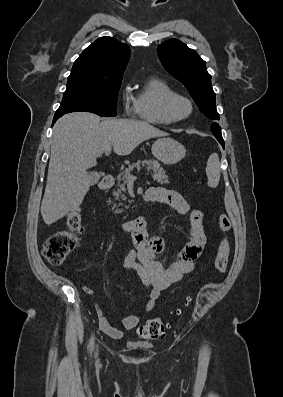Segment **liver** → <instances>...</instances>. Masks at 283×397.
Returning <instances> with one entry per match:
<instances>
[{"label": "liver", "mask_w": 283, "mask_h": 397, "mask_svg": "<svg viewBox=\"0 0 283 397\" xmlns=\"http://www.w3.org/2000/svg\"><path fill=\"white\" fill-rule=\"evenodd\" d=\"M145 121L102 120L89 112L61 117L53 128L47 184L41 204L44 222L50 225L78 208L92 184L87 170L107 148L129 155L139 144L166 136Z\"/></svg>", "instance_id": "1"}]
</instances>
